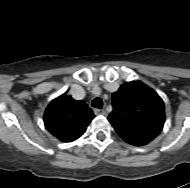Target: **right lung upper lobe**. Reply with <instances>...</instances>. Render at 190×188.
I'll return each instance as SVG.
<instances>
[{
  "label": "right lung upper lobe",
  "mask_w": 190,
  "mask_h": 188,
  "mask_svg": "<svg viewBox=\"0 0 190 188\" xmlns=\"http://www.w3.org/2000/svg\"><path fill=\"white\" fill-rule=\"evenodd\" d=\"M95 117L84 101L62 94L50 102L44 113L46 129L62 142L81 137Z\"/></svg>",
  "instance_id": "right-lung-upper-lobe-1"
}]
</instances>
